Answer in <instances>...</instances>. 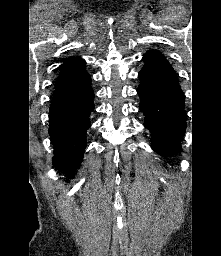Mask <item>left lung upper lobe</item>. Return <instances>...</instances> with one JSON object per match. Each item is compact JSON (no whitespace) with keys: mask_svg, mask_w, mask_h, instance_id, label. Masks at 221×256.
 I'll return each instance as SVG.
<instances>
[{"mask_svg":"<svg viewBox=\"0 0 221 256\" xmlns=\"http://www.w3.org/2000/svg\"><path fill=\"white\" fill-rule=\"evenodd\" d=\"M142 60L146 62L145 67L158 65L171 66L162 54L154 50L147 52Z\"/></svg>","mask_w":221,"mask_h":256,"instance_id":"1","label":"left lung upper lobe"}]
</instances>
